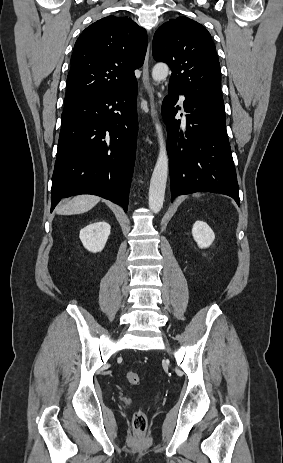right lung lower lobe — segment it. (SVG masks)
<instances>
[{
    "mask_svg": "<svg viewBox=\"0 0 283 463\" xmlns=\"http://www.w3.org/2000/svg\"><path fill=\"white\" fill-rule=\"evenodd\" d=\"M137 82L62 113L51 211L63 197L94 194L128 208L138 131Z\"/></svg>",
    "mask_w": 283,
    "mask_h": 463,
    "instance_id": "1",
    "label": "right lung lower lobe"
}]
</instances>
